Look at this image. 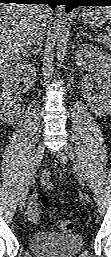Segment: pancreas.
I'll list each match as a JSON object with an SVG mask.
<instances>
[{"label": "pancreas", "instance_id": "cf45deb5", "mask_svg": "<svg viewBox=\"0 0 111 257\" xmlns=\"http://www.w3.org/2000/svg\"><path fill=\"white\" fill-rule=\"evenodd\" d=\"M95 41L100 42L102 44H106L107 47L111 49V38L105 36H99L95 39Z\"/></svg>", "mask_w": 111, "mask_h": 257}]
</instances>
